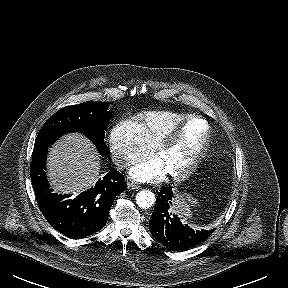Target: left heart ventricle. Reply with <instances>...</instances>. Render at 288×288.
<instances>
[{"mask_svg": "<svg viewBox=\"0 0 288 288\" xmlns=\"http://www.w3.org/2000/svg\"><path fill=\"white\" fill-rule=\"evenodd\" d=\"M205 133L206 125L200 120H193L184 126L175 141L159 154L168 173L179 171L189 163L201 146Z\"/></svg>", "mask_w": 288, "mask_h": 288, "instance_id": "left-heart-ventricle-1", "label": "left heart ventricle"}]
</instances>
